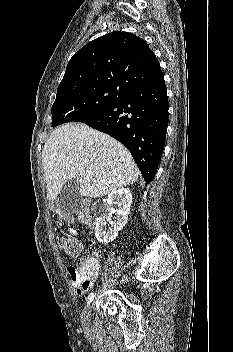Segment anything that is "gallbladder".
<instances>
[{
	"instance_id": "bac80fb5",
	"label": "gallbladder",
	"mask_w": 233,
	"mask_h": 352,
	"mask_svg": "<svg viewBox=\"0 0 233 352\" xmlns=\"http://www.w3.org/2000/svg\"><path fill=\"white\" fill-rule=\"evenodd\" d=\"M81 199L79 184L76 179L68 180L64 184L59 197L62 211L66 214L77 213Z\"/></svg>"
}]
</instances>
